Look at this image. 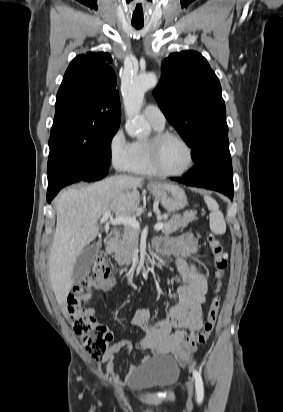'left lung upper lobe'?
Returning <instances> with one entry per match:
<instances>
[{
    "label": "left lung upper lobe",
    "mask_w": 283,
    "mask_h": 412,
    "mask_svg": "<svg viewBox=\"0 0 283 412\" xmlns=\"http://www.w3.org/2000/svg\"><path fill=\"white\" fill-rule=\"evenodd\" d=\"M154 95L168 121L193 148L194 161L217 151L231 161L221 85L201 54L182 51L166 58Z\"/></svg>",
    "instance_id": "obj_1"
}]
</instances>
